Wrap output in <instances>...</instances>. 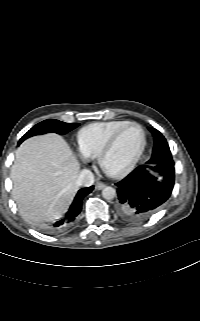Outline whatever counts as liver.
Instances as JSON below:
<instances>
[{"label":"liver","instance_id":"obj_1","mask_svg":"<svg viewBox=\"0 0 200 321\" xmlns=\"http://www.w3.org/2000/svg\"><path fill=\"white\" fill-rule=\"evenodd\" d=\"M79 163L59 135L35 136L16 151L11 168L12 195L28 221H50L63 215L78 186Z\"/></svg>","mask_w":200,"mask_h":321}]
</instances>
